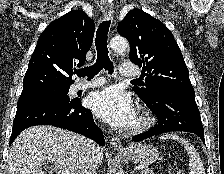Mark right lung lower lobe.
Wrapping results in <instances>:
<instances>
[{
    "instance_id": "1",
    "label": "right lung lower lobe",
    "mask_w": 224,
    "mask_h": 174,
    "mask_svg": "<svg viewBox=\"0 0 224 174\" xmlns=\"http://www.w3.org/2000/svg\"><path fill=\"white\" fill-rule=\"evenodd\" d=\"M35 125L68 129L105 145L102 130L95 124L91 111L85 109L79 99L70 100L61 91L35 90L21 94L10 144L21 131Z\"/></svg>"
}]
</instances>
